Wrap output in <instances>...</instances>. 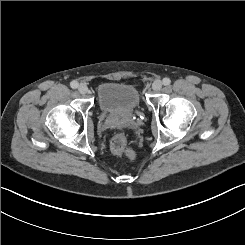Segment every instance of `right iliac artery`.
Masks as SVG:
<instances>
[{
  "label": "right iliac artery",
  "mask_w": 245,
  "mask_h": 245,
  "mask_svg": "<svg viewBox=\"0 0 245 245\" xmlns=\"http://www.w3.org/2000/svg\"><path fill=\"white\" fill-rule=\"evenodd\" d=\"M70 86L73 88V89H76L78 87V82L77 81H72L70 83Z\"/></svg>",
  "instance_id": "right-iliac-artery-1"
}]
</instances>
